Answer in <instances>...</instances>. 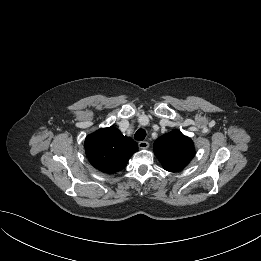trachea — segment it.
Segmentation results:
<instances>
[{
	"label": "trachea",
	"instance_id": "3493384b",
	"mask_svg": "<svg viewBox=\"0 0 261 261\" xmlns=\"http://www.w3.org/2000/svg\"><path fill=\"white\" fill-rule=\"evenodd\" d=\"M146 137V131L144 129H139L135 133V139L139 141H143Z\"/></svg>",
	"mask_w": 261,
	"mask_h": 261
}]
</instances>
